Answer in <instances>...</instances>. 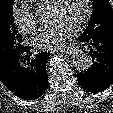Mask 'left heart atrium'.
Here are the masks:
<instances>
[{"instance_id": "obj_1", "label": "left heart atrium", "mask_w": 113, "mask_h": 113, "mask_svg": "<svg viewBox=\"0 0 113 113\" xmlns=\"http://www.w3.org/2000/svg\"><path fill=\"white\" fill-rule=\"evenodd\" d=\"M73 34V26L63 21H55L38 32L34 37V46L41 51L57 50L64 47Z\"/></svg>"}]
</instances>
